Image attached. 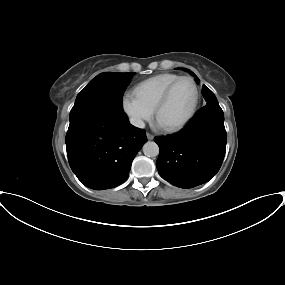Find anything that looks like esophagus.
I'll return each instance as SVG.
<instances>
[{
    "instance_id": "34e87169",
    "label": "esophagus",
    "mask_w": 285,
    "mask_h": 285,
    "mask_svg": "<svg viewBox=\"0 0 285 285\" xmlns=\"http://www.w3.org/2000/svg\"><path fill=\"white\" fill-rule=\"evenodd\" d=\"M147 139L148 140H153L154 139V135H152L151 133H146Z\"/></svg>"
}]
</instances>
